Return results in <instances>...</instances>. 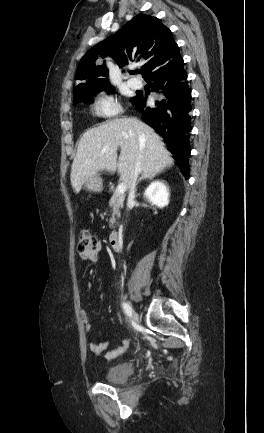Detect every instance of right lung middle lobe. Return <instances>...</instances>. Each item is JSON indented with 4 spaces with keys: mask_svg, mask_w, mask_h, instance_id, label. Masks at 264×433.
<instances>
[{
    "mask_svg": "<svg viewBox=\"0 0 264 433\" xmlns=\"http://www.w3.org/2000/svg\"><path fill=\"white\" fill-rule=\"evenodd\" d=\"M107 90L112 91V92L114 91L113 88H109V89H107ZM94 94H96V93L88 94V95H86L85 97H83V98H81V99H78V100L74 101V105L77 104V103H79V102H82V101H85L86 103H90V102H92V99H90V97H91L92 95H94ZM131 100H132V99H131Z\"/></svg>",
    "mask_w": 264,
    "mask_h": 433,
    "instance_id": "1",
    "label": "right lung middle lobe"
}]
</instances>
